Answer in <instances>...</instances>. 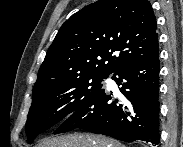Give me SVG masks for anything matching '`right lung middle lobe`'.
I'll use <instances>...</instances> for the list:
<instances>
[{
  "label": "right lung middle lobe",
  "mask_w": 183,
  "mask_h": 147,
  "mask_svg": "<svg viewBox=\"0 0 183 147\" xmlns=\"http://www.w3.org/2000/svg\"><path fill=\"white\" fill-rule=\"evenodd\" d=\"M107 76L89 75L33 90L25 131L28 142L60 122L102 89Z\"/></svg>",
  "instance_id": "dd1d6c3e"
}]
</instances>
